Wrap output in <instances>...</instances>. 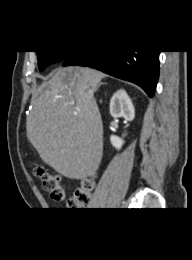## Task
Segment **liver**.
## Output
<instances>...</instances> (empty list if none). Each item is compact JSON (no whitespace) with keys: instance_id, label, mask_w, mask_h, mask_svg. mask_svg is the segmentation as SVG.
Wrapping results in <instances>:
<instances>
[{"instance_id":"liver-1","label":"liver","mask_w":192,"mask_h":260,"mask_svg":"<svg viewBox=\"0 0 192 260\" xmlns=\"http://www.w3.org/2000/svg\"><path fill=\"white\" fill-rule=\"evenodd\" d=\"M105 74L88 67L59 69L31 100L27 138L44 163L70 179H86L99 168L103 125L94 92Z\"/></svg>"}]
</instances>
